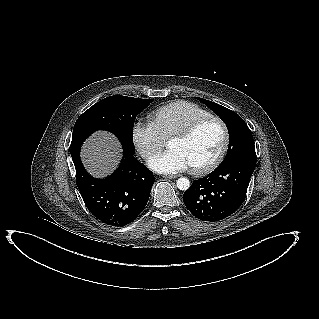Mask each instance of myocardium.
<instances>
[{"mask_svg":"<svg viewBox=\"0 0 319 319\" xmlns=\"http://www.w3.org/2000/svg\"><path fill=\"white\" fill-rule=\"evenodd\" d=\"M208 122L217 123L222 130V144L219 149L217 155L207 164L199 167H189L190 173L194 175H204L207 174L214 169H216L220 163L223 161L230 142V134L226 123L219 117L214 115H209L205 117L198 118L192 121L190 124L185 126L183 129L177 131L173 135H171L168 139V143L172 140H185L190 138L201 126Z\"/></svg>","mask_w":319,"mask_h":319,"instance_id":"obj_1","label":"myocardium"}]
</instances>
